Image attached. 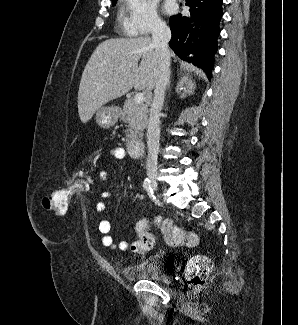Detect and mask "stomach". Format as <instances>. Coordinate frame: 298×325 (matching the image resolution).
I'll use <instances>...</instances> for the list:
<instances>
[{"label": "stomach", "instance_id": "1", "mask_svg": "<svg viewBox=\"0 0 298 325\" xmlns=\"http://www.w3.org/2000/svg\"><path fill=\"white\" fill-rule=\"evenodd\" d=\"M119 114L118 106H101L95 112V120L102 128H111L117 122Z\"/></svg>", "mask_w": 298, "mask_h": 325}]
</instances>
